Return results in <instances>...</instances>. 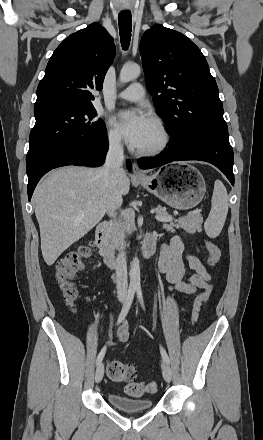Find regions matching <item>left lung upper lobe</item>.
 <instances>
[{
    "instance_id": "left-lung-upper-lobe-1",
    "label": "left lung upper lobe",
    "mask_w": 263,
    "mask_h": 440,
    "mask_svg": "<svg viewBox=\"0 0 263 440\" xmlns=\"http://www.w3.org/2000/svg\"><path fill=\"white\" fill-rule=\"evenodd\" d=\"M145 81L172 142L190 151L228 132L215 79L200 49L180 32L152 26L140 42Z\"/></svg>"
}]
</instances>
